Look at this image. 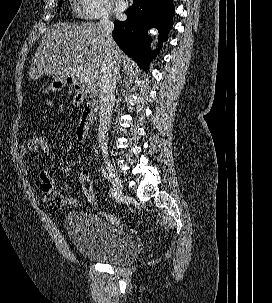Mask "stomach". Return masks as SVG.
<instances>
[{"mask_svg":"<svg viewBox=\"0 0 272 303\" xmlns=\"http://www.w3.org/2000/svg\"><path fill=\"white\" fill-rule=\"evenodd\" d=\"M65 81H53L46 89H42L43 94H49L51 91L60 90L64 87Z\"/></svg>","mask_w":272,"mask_h":303,"instance_id":"1","label":"stomach"}]
</instances>
